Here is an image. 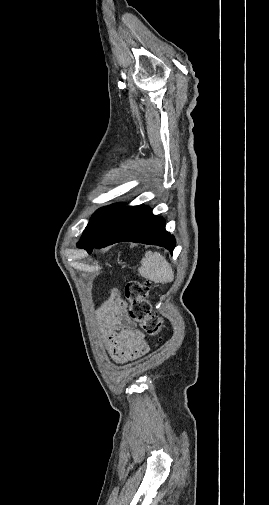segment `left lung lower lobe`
Returning a JSON list of instances; mask_svg holds the SVG:
<instances>
[{
	"label": "left lung lower lobe",
	"mask_w": 269,
	"mask_h": 505,
	"mask_svg": "<svg viewBox=\"0 0 269 505\" xmlns=\"http://www.w3.org/2000/svg\"><path fill=\"white\" fill-rule=\"evenodd\" d=\"M131 241L165 247L171 253L175 238L165 230L162 217L153 215L147 206L124 207L111 228L96 244L83 247L88 253L117 242Z\"/></svg>",
	"instance_id": "1"
}]
</instances>
